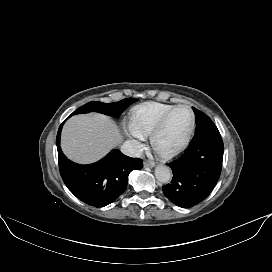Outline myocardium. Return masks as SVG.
Listing matches in <instances>:
<instances>
[{"instance_id": "myocardium-1", "label": "myocardium", "mask_w": 272, "mask_h": 272, "mask_svg": "<svg viewBox=\"0 0 272 272\" xmlns=\"http://www.w3.org/2000/svg\"><path fill=\"white\" fill-rule=\"evenodd\" d=\"M179 109H186L191 115V124H190V128L188 130V133H187L186 137L184 138V140L177 147L170 149V150H160L155 145L156 138L158 137V135L161 133V131L165 127L166 122L168 121L170 116L175 111H177ZM195 127H196V117H195V114H194V111L192 110V108L188 105H177V106L173 107L171 110H169L167 113H165L160 118V120L158 121V123L156 124V126L154 127L152 132L150 133V138H149L150 145H151L152 149L161 157L168 158V157L175 156L187 148V146L189 145V143L193 137Z\"/></svg>"}]
</instances>
